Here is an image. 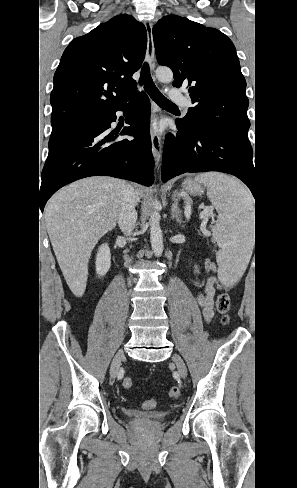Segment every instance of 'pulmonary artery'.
Returning a JSON list of instances; mask_svg holds the SVG:
<instances>
[{
  "label": "pulmonary artery",
  "mask_w": 297,
  "mask_h": 488,
  "mask_svg": "<svg viewBox=\"0 0 297 488\" xmlns=\"http://www.w3.org/2000/svg\"><path fill=\"white\" fill-rule=\"evenodd\" d=\"M170 99L183 107H189L190 106V101L183 96L182 94L176 92V91H171L170 92Z\"/></svg>",
  "instance_id": "pulmonary-artery-1"
}]
</instances>
